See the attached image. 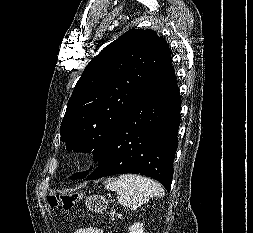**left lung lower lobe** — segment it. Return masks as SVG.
Here are the masks:
<instances>
[{"mask_svg": "<svg viewBox=\"0 0 253 233\" xmlns=\"http://www.w3.org/2000/svg\"><path fill=\"white\" fill-rule=\"evenodd\" d=\"M181 99L171 63L132 107L86 180L136 173L159 181L168 191L178 146Z\"/></svg>", "mask_w": 253, "mask_h": 233, "instance_id": "obj_1", "label": "left lung lower lobe"}]
</instances>
